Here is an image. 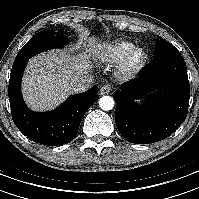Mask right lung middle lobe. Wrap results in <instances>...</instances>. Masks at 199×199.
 I'll return each mask as SVG.
<instances>
[{"label": "right lung middle lobe", "mask_w": 199, "mask_h": 199, "mask_svg": "<svg viewBox=\"0 0 199 199\" xmlns=\"http://www.w3.org/2000/svg\"><path fill=\"white\" fill-rule=\"evenodd\" d=\"M68 41L65 36H55L54 32H40L34 35L19 51L13 64L28 60L29 58L54 47H62Z\"/></svg>", "instance_id": "dd1d6c3e"}]
</instances>
